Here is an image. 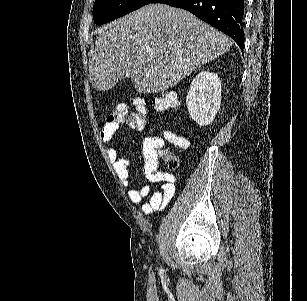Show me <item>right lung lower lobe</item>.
<instances>
[{"mask_svg":"<svg viewBox=\"0 0 307 301\" xmlns=\"http://www.w3.org/2000/svg\"><path fill=\"white\" fill-rule=\"evenodd\" d=\"M150 3L186 9L229 35L243 50L244 0H151Z\"/></svg>","mask_w":307,"mask_h":301,"instance_id":"right-lung-lower-lobe-1","label":"right lung lower lobe"}]
</instances>
